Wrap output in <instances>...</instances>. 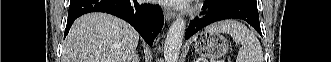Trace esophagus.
<instances>
[{
	"label": "esophagus",
	"mask_w": 331,
	"mask_h": 62,
	"mask_svg": "<svg viewBox=\"0 0 331 62\" xmlns=\"http://www.w3.org/2000/svg\"><path fill=\"white\" fill-rule=\"evenodd\" d=\"M163 12H164V17L167 21L176 17L175 11L171 10L170 8L164 7Z\"/></svg>",
	"instance_id": "34e87169"
}]
</instances>
